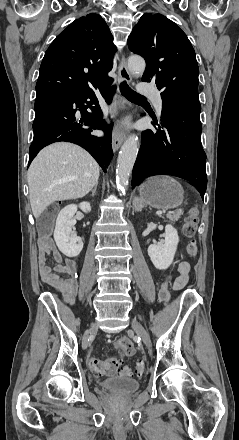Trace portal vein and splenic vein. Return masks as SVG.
Segmentation results:
<instances>
[{"instance_id":"portal-vein-and-splenic-vein-1","label":"portal vein and splenic vein","mask_w":239,"mask_h":440,"mask_svg":"<svg viewBox=\"0 0 239 440\" xmlns=\"http://www.w3.org/2000/svg\"><path fill=\"white\" fill-rule=\"evenodd\" d=\"M156 213H157V215H161L163 212H162V210L160 209V210H156Z\"/></svg>"}]
</instances>
